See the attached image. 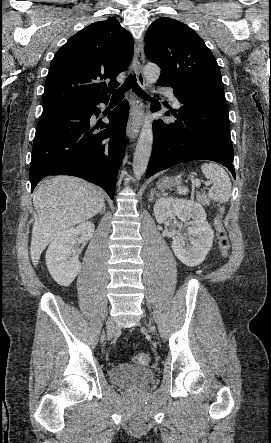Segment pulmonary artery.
Segmentation results:
<instances>
[{
  "instance_id": "e3ab8cb5",
  "label": "pulmonary artery",
  "mask_w": 271,
  "mask_h": 443,
  "mask_svg": "<svg viewBox=\"0 0 271 443\" xmlns=\"http://www.w3.org/2000/svg\"><path fill=\"white\" fill-rule=\"evenodd\" d=\"M164 94L169 98V100L171 101V103L173 104V106L175 108H179V101L177 99V97L175 96L174 92L172 89H168L164 92Z\"/></svg>"
}]
</instances>
